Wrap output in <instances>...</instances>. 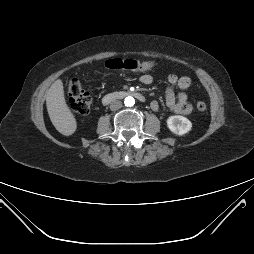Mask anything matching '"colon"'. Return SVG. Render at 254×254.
Wrapping results in <instances>:
<instances>
[{
    "label": "colon",
    "instance_id": "obj_1",
    "mask_svg": "<svg viewBox=\"0 0 254 254\" xmlns=\"http://www.w3.org/2000/svg\"><path fill=\"white\" fill-rule=\"evenodd\" d=\"M156 62L151 60H136V59H110L105 63L108 70H132V71H147L152 69ZM68 95L70 98L71 109L79 115H87L90 111L92 98L90 94L83 88L78 79H72L68 86ZM196 109L199 112H205L207 106L204 102L198 101Z\"/></svg>",
    "mask_w": 254,
    "mask_h": 254
}]
</instances>
